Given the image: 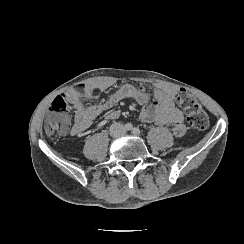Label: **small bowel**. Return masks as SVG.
Here are the masks:
<instances>
[{"label": "small bowel", "instance_id": "c3829d8e", "mask_svg": "<svg viewBox=\"0 0 244 244\" xmlns=\"http://www.w3.org/2000/svg\"><path fill=\"white\" fill-rule=\"evenodd\" d=\"M113 86L110 80H98L86 84V88H97L104 91ZM177 90L171 86L160 85L153 92H148L128 83L119 84L105 97L99 95H80L76 90L68 93V98L75 108L72 135L86 132L93 120L107 109L124 98H131L141 105L138 118L141 122L156 126H171L172 135L182 138L187 132L183 111L176 105ZM120 117V111L111 110L106 115L107 121H115Z\"/></svg>", "mask_w": 244, "mask_h": 244}]
</instances>
